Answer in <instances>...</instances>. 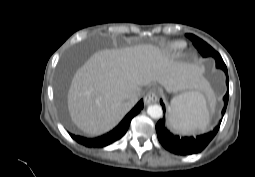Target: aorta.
<instances>
[{
    "mask_svg": "<svg viewBox=\"0 0 255 177\" xmlns=\"http://www.w3.org/2000/svg\"><path fill=\"white\" fill-rule=\"evenodd\" d=\"M147 113L152 118H161L163 115V110L161 106L154 104L147 108Z\"/></svg>",
    "mask_w": 255,
    "mask_h": 177,
    "instance_id": "1",
    "label": "aorta"
}]
</instances>
